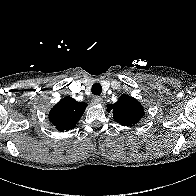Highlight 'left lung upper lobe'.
I'll list each match as a JSON object with an SVG mask.
<instances>
[{
	"mask_svg": "<svg viewBox=\"0 0 196 196\" xmlns=\"http://www.w3.org/2000/svg\"><path fill=\"white\" fill-rule=\"evenodd\" d=\"M113 111V118L123 126H132L144 116L142 105L128 95H122L115 104L108 105V111Z\"/></svg>",
	"mask_w": 196,
	"mask_h": 196,
	"instance_id": "left-lung-upper-lobe-1",
	"label": "left lung upper lobe"
}]
</instances>
